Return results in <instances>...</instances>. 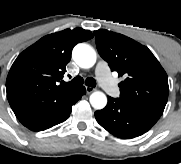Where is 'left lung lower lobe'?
Wrapping results in <instances>:
<instances>
[{
    "mask_svg": "<svg viewBox=\"0 0 181 164\" xmlns=\"http://www.w3.org/2000/svg\"><path fill=\"white\" fill-rule=\"evenodd\" d=\"M161 115L146 108L108 98L107 106L95 112L97 122L113 135L131 139L146 133Z\"/></svg>",
    "mask_w": 181,
    "mask_h": 164,
    "instance_id": "left-lung-lower-lobe-1",
    "label": "left lung lower lobe"
}]
</instances>
